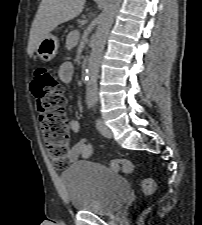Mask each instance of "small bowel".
Wrapping results in <instances>:
<instances>
[{"label":"small bowel","instance_id":"c3829d8e","mask_svg":"<svg viewBox=\"0 0 202 225\" xmlns=\"http://www.w3.org/2000/svg\"><path fill=\"white\" fill-rule=\"evenodd\" d=\"M75 74L74 65L71 62L63 63L58 71V77L60 81L69 83L73 80ZM69 130L72 133H79L81 130V123L77 118H69L68 120ZM93 156L91 143L81 138L74 143V145L68 151L65 157V161L68 163H74L80 159H90ZM60 167H63L60 166Z\"/></svg>","mask_w":202,"mask_h":225}]
</instances>
